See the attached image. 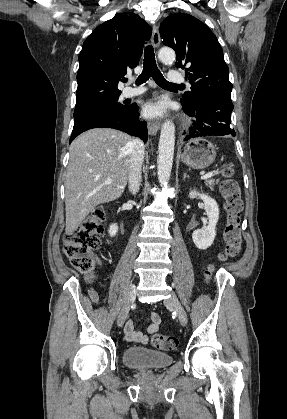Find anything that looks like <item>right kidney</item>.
Masks as SVG:
<instances>
[{"label":"right kidney","instance_id":"1","mask_svg":"<svg viewBox=\"0 0 287 419\" xmlns=\"http://www.w3.org/2000/svg\"><path fill=\"white\" fill-rule=\"evenodd\" d=\"M117 231H118V226H117V224H111V225H110V228H109V235H110L111 237H114V236L116 235Z\"/></svg>","mask_w":287,"mask_h":419}]
</instances>
